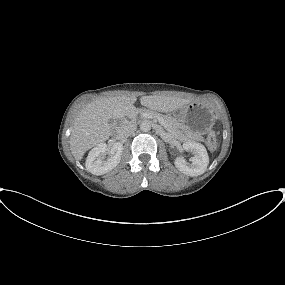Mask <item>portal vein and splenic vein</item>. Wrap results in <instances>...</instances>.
<instances>
[{
    "label": "portal vein and splenic vein",
    "mask_w": 285,
    "mask_h": 285,
    "mask_svg": "<svg viewBox=\"0 0 285 285\" xmlns=\"http://www.w3.org/2000/svg\"><path fill=\"white\" fill-rule=\"evenodd\" d=\"M144 116H150V115L144 114ZM159 123H160L161 125H163L164 127H166V124H165V122H164L163 120L159 119Z\"/></svg>",
    "instance_id": "obj_1"
}]
</instances>
